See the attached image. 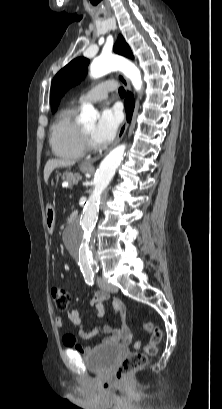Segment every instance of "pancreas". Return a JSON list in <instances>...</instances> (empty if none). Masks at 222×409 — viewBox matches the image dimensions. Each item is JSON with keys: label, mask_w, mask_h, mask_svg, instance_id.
Returning a JSON list of instances; mask_svg holds the SVG:
<instances>
[{"label": "pancreas", "mask_w": 222, "mask_h": 409, "mask_svg": "<svg viewBox=\"0 0 222 409\" xmlns=\"http://www.w3.org/2000/svg\"><path fill=\"white\" fill-rule=\"evenodd\" d=\"M82 177L78 174H68L65 178V180L69 183V186H72L73 184H75L76 182H78L79 180H81Z\"/></svg>", "instance_id": "pancreas-1"}]
</instances>
